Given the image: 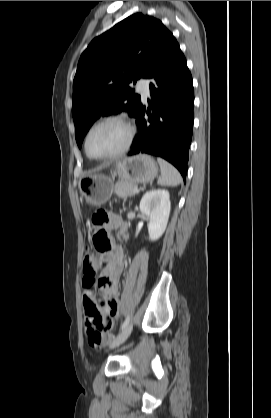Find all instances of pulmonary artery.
I'll return each instance as SVG.
<instances>
[{"instance_id": "1", "label": "pulmonary artery", "mask_w": 271, "mask_h": 418, "mask_svg": "<svg viewBox=\"0 0 271 418\" xmlns=\"http://www.w3.org/2000/svg\"><path fill=\"white\" fill-rule=\"evenodd\" d=\"M138 91L141 93L143 99H147L150 96L149 80L141 79L137 86Z\"/></svg>"}]
</instances>
